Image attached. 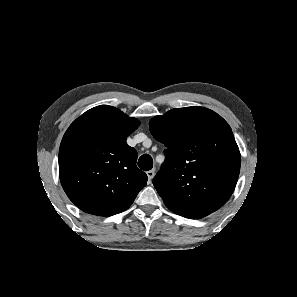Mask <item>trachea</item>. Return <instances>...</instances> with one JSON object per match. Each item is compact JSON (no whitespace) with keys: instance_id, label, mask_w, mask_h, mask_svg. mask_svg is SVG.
<instances>
[{"instance_id":"1","label":"trachea","mask_w":297,"mask_h":297,"mask_svg":"<svg viewBox=\"0 0 297 297\" xmlns=\"http://www.w3.org/2000/svg\"><path fill=\"white\" fill-rule=\"evenodd\" d=\"M138 166L144 171H148L153 167V159L150 155L144 154L138 160Z\"/></svg>"}]
</instances>
